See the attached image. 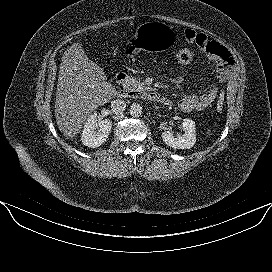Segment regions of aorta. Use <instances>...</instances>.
<instances>
[{"instance_id": "1", "label": "aorta", "mask_w": 272, "mask_h": 272, "mask_svg": "<svg viewBox=\"0 0 272 272\" xmlns=\"http://www.w3.org/2000/svg\"><path fill=\"white\" fill-rule=\"evenodd\" d=\"M129 113H130L131 116L139 117L141 115V113H142L141 105L138 104V103H133L130 106Z\"/></svg>"}]
</instances>
